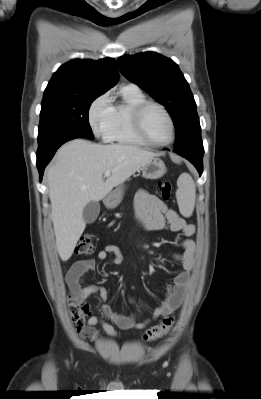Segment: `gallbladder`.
<instances>
[{"label":"gallbladder","instance_id":"gallbladder-1","mask_svg":"<svg viewBox=\"0 0 261 399\" xmlns=\"http://www.w3.org/2000/svg\"><path fill=\"white\" fill-rule=\"evenodd\" d=\"M100 212V205L96 201H90L83 209V219L87 224L93 223Z\"/></svg>","mask_w":261,"mask_h":399}]
</instances>
